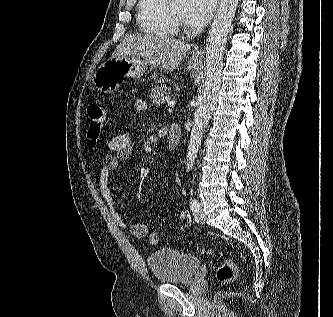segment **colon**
I'll return each mask as SVG.
<instances>
[{"label": "colon", "mask_w": 333, "mask_h": 317, "mask_svg": "<svg viewBox=\"0 0 333 317\" xmlns=\"http://www.w3.org/2000/svg\"><path fill=\"white\" fill-rule=\"evenodd\" d=\"M104 121V108L98 104L89 105L87 108L86 130V142L89 147H95L98 144ZM149 242L153 245L157 244V232L153 231L150 233ZM215 275L220 285H230L236 278V267L234 262L229 257H224L220 265L217 267Z\"/></svg>", "instance_id": "1"}]
</instances>
